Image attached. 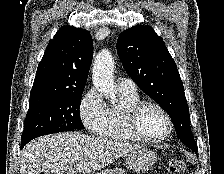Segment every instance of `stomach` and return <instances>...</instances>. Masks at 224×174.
Listing matches in <instances>:
<instances>
[{"instance_id": "1", "label": "stomach", "mask_w": 224, "mask_h": 174, "mask_svg": "<svg viewBox=\"0 0 224 174\" xmlns=\"http://www.w3.org/2000/svg\"><path fill=\"white\" fill-rule=\"evenodd\" d=\"M157 157L154 151L140 146L126 155V163L128 168L138 174L148 171L156 162ZM112 170H104L98 174H113ZM118 173V172H117Z\"/></svg>"}]
</instances>
